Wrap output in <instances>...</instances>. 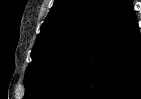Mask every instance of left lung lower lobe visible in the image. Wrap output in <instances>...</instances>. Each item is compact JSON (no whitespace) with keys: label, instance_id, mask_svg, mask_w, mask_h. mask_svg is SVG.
Masks as SVG:
<instances>
[{"label":"left lung lower lobe","instance_id":"0a47b994","mask_svg":"<svg viewBox=\"0 0 141 99\" xmlns=\"http://www.w3.org/2000/svg\"><path fill=\"white\" fill-rule=\"evenodd\" d=\"M37 99H141V37L122 0Z\"/></svg>","mask_w":141,"mask_h":99}]
</instances>
